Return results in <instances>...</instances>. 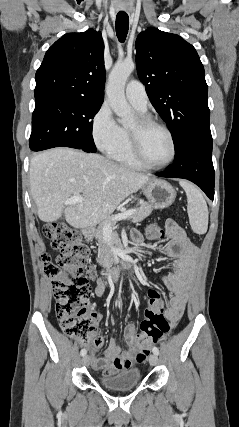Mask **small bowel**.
<instances>
[{
	"mask_svg": "<svg viewBox=\"0 0 239 427\" xmlns=\"http://www.w3.org/2000/svg\"><path fill=\"white\" fill-rule=\"evenodd\" d=\"M166 236L169 238V242L165 247V253L173 260V263L171 272L163 276L161 281L172 294L166 310V318L170 328H174L185 310L198 249L188 239L185 231L173 220L167 222ZM131 240L137 247L143 245V237L138 231L131 233ZM105 288L106 282L98 279L95 294L99 297L102 296ZM93 315L96 324L105 317L102 312H93ZM109 318L113 320L111 316ZM136 333V325L128 323L124 329V341L129 349L123 350L114 339H111L104 358L95 355V350L103 347L104 339L93 334V347L91 348L93 368L102 371L104 375H113L121 370L129 369L137 360L134 350Z\"/></svg>",
	"mask_w": 239,
	"mask_h": 427,
	"instance_id": "c3829d8e",
	"label": "small bowel"
}]
</instances>
